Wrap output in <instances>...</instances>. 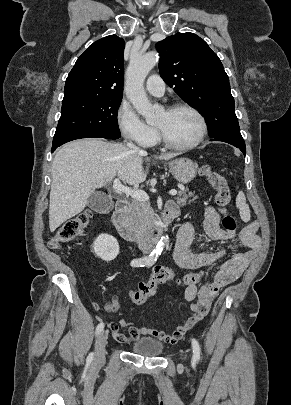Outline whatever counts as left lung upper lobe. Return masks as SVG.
<instances>
[{"label":"left lung upper lobe","mask_w":291,"mask_h":405,"mask_svg":"<svg viewBox=\"0 0 291 405\" xmlns=\"http://www.w3.org/2000/svg\"><path fill=\"white\" fill-rule=\"evenodd\" d=\"M160 75L165 83L205 117L211 138L242 136L219 57L193 33H177L158 42Z\"/></svg>","instance_id":"left-lung-upper-lobe-1"}]
</instances>
